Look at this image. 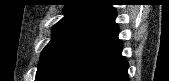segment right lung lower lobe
Segmentation results:
<instances>
[{
	"mask_svg": "<svg viewBox=\"0 0 169 81\" xmlns=\"http://www.w3.org/2000/svg\"><path fill=\"white\" fill-rule=\"evenodd\" d=\"M116 12L85 23L38 69L35 81H129Z\"/></svg>",
	"mask_w": 169,
	"mask_h": 81,
	"instance_id": "98d812e1",
	"label": "right lung lower lobe"
}]
</instances>
